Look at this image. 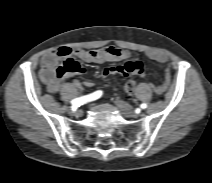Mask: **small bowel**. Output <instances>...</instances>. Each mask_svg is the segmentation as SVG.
Wrapping results in <instances>:
<instances>
[{
    "mask_svg": "<svg viewBox=\"0 0 212 183\" xmlns=\"http://www.w3.org/2000/svg\"><path fill=\"white\" fill-rule=\"evenodd\" d=\"M71 56H77L81 61L85 63H109L125 60L130 57V53L115 46H107L92 51L73 50L71 48L63 47L51 53H48L42 58L40 77L49 92L56 93L60 89L61 79H56L54 72L61 59ZM147 56L151 60L158 63H168L167 56L160 51H148ZM116 74L124 76L138 75L140 77H144L145 72L143 64L139 61H128L123 65L107 67L102 72L103 77H108ZM170 80L171 76L169 69L167 68L163 83L156 88L157 93H163L167 89ZM84 85L89 87L93 85V82L91 80H87L84 82ZM74 86L80 89L82 87V84L79 81L75 80Z\"/></svg>",
    "mask_w": 212,
    "mask_h": 183,
    "instance_id": "c3829d8e",
    "label": "small bowel"
}]
</instances>
